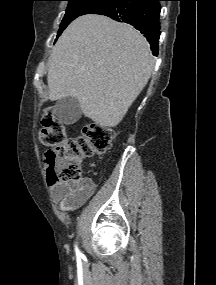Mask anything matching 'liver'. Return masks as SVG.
<instances>
[{
	"label": "liver",
	"instance_id": "6515ba94",
	"mask_svg": "<svg viewBox=\"0 0 216 285\" xmlns=\"http://www.w3.org/2000/svg\"><path fill=\"white\" fill-rule=\"evenodd\" d=\"M154 59L130 25L102 15L75 19L49 57V99L75 98L100 126H117L147 84Z\"/></svg>",
	"mask_w": 216,
	"mask_h": 285
}]
</instances>
